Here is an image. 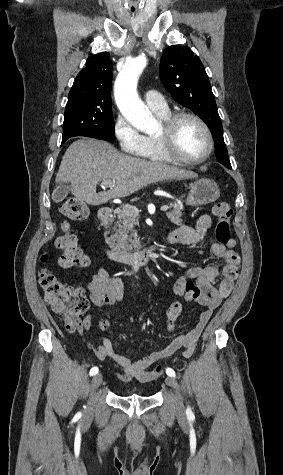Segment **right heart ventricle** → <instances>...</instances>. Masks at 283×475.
Returning a JSON list of instances; mask_svg holds the SVG:
<instances>
[{"label":"right heart ventricle","mask_w":283,"mask_h":475,"mask_svg":"<svg viewBox=\"0 0 283 475\" xmlns=\"http://www.w3.org/2000/svg\"><path fill=\"white\" fill-rule=\"evenodd\" d=\"M154 113L163 121H165L171 115V112L169 109L154 111ZM145 157L148 160L163 161L158 150L157 135L156 136L150 135L147 137V150H146Z\"/></svg>","instance_id":"1"}]
</instances>
